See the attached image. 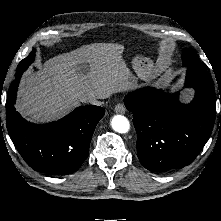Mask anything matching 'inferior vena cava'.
Listing matches in <instances>:
<instances>
[{
  "instance_id": "602c4592",
  "label": "inferior vena cava",
  "mask_w": 221,
  "mask_h": 221,
  "mask_svg": "<svg viewBox=\"0 0 221 221\" xmlns=\"http://www.w3.org/2000/svg\"><path fill=\"white\" fill-rule=\"evenodd\" d=\"M84 101L92 105H97V106H101L103 104V102L98 101L95 96H88L84 98Z\"/></svg>"
}]
</instances>
